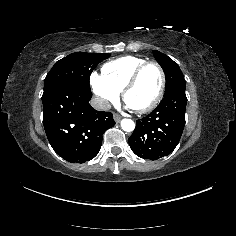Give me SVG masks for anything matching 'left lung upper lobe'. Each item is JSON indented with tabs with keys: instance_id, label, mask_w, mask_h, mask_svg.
Wrapping results in <instances>:
<instances>
[{
	"instance_id": "5c2ea615",
	"label": "left lung upper lobe",
	"mask_w": 236,
	"mask_h": 236,
	"mask_svg": "<svg viewBox=\"0 0 236 236\" xmlns=\"http://www.w3.org/2000/svg\"><path fill=\"white\" fill-rule=\"evenodd\" d=\"M153 55L165 73V94L177 88L185 89V79L179 66L170 57L157 50H153Z\"/></svg>"
}]
</instances>
